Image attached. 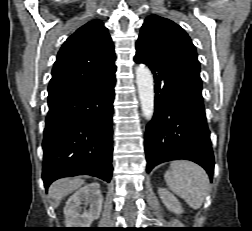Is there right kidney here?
<instances>
[{
  "label": "right kidney",
  "mask_w": 252,
  "mask_h": 231,
  "mask_svg": "<svg viewBox=\"0 0 252 231\" xmlns=\"http://www.w3.org/2000/svg\"><path fill=\"white\" fill-rule=\"evenodd\" d=\"M103 196L98 183L85 185L76 191L66 202L64 208L67 228H89L101 214ZM81 204L89 208L82 211Z\"/></svg>",
  "instance_id": "right-kidney-1"
}]
</instances>
